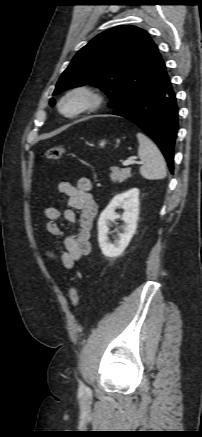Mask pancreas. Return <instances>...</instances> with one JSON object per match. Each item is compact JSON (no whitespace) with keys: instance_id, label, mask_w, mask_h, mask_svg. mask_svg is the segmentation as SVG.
Returning a JSON list of instances; mask_svg holds the SVG:
<instances>
[{"instance_id":"pancreas-1","label":"pancreas","mask_w":202,"mask_h":437,"mask_svg":"<svg viewBox=\"0 0 202 437\" xmlns=\"http://www.w3.org/2000/svg\"><path fill=\"white\" fill-rule=\"evenodd\" d=\"M111 174H110V179L113 182H119L122 183L124 182L126 179L131 177V170L129 168L126 169H119L117 167H111Z\"/></svg>"}]
</instances>
